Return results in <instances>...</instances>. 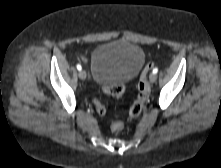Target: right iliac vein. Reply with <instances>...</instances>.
Listing matches in <instances>:
<instances>
[{
  "mask_svg": "<svg viewBox=\"0 0 221 168\" xmlns=\"http://www.w3.org/2000/svg\"><path fill=\"white\" fill-rule=\"evenodd\" d=\"M86 77H87L86 72H85L84 70H80V71H79V78H80L81 80H85Z\"/></svg>",
  "mask_w": 221,
  "mask_h": 168,
  "instance_id": "63e3f726",
  "label": "right iliac vein"
}]
</instances>
